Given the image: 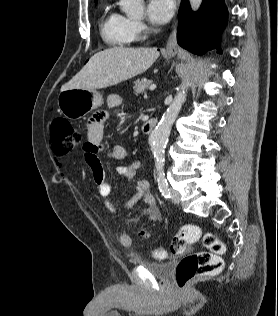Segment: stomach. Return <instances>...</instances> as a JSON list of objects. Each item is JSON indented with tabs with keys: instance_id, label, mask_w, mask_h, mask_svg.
<instances>
[{
	"instance_id": "stomach-1",
	"label": "stomach",
	"mask_w": 278,
	"mask_h": 316,
	"mask_svg": "<svg viewBox=\"0 0 278 316\" xmlns=\"http://www.w3.org/2000/svg\"><path fill=\"white\" fill-rule=\"evenodd\" d=\"M102 104V95L96 90L68 89L58 96L60 112L71 120L87 115Z\"/></svg>"
}]
</instances>
